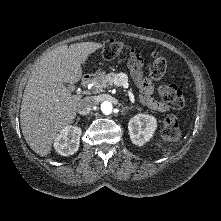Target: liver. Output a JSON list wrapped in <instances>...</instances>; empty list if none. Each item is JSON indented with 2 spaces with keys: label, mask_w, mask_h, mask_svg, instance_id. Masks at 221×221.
<instances>
[{
  "label": "liver",
  "mask_w": 221,
  "mask_h": 221,
  "mask_svg": "<svg viewBox=\"0 0 221 221\" xmlns=\"http://www.w3.org/2000/svg\"><path fill=\"white\" fill-rule=\"evenodd\" d=\"M103 47L97 42L62 45L46 52L32 71L24 90L20 124L30 148L45 157L58 134L76 117L80 95L64 83H76L90 54Z\"/></svg>",
  "instance_id": "6515ba94"
}]
</instances>
